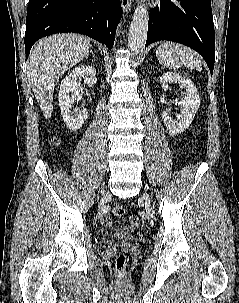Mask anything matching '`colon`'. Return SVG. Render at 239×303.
<instances>
[{
  "label": "colon",
  "instance_id": "obj_1",
  "mask_svg": "<svg viewBox=\"0 0 239 303\" xmlns=\"http://www.w3.org/2000/svg\"><path fill=\"white\" fill-rule=\"evenodd\" d=\"M112 212L116 217H122L125 214V209L123 206L118 205L113 208ZM125 261H126V257L124 253H119L116 258V267L118 270H122L124 268Z\"/></svg>",
  "mask_w": 239,
  "mask_h": 303
}]
</instances>
